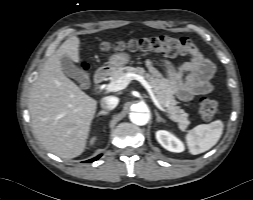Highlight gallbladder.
I'll return each instance as SVG.
<instances>
[{"label":"gallbladder","mask_w":253,"mask_h":200,"mask_svg":"<svg viewBox=\"0 0 253 200\" xmlns=\"http://www.w3.org/2000/svg\"><path fill=\"white\" fill-rule=\"evenodd\" d=\"M61 67L66 75L80 82L82 87L85 88L89 85L90 80L88 75L76 67L70 57L65 55L61 58Z\"/></svg>","instance_id":"1"}]
</instances>
